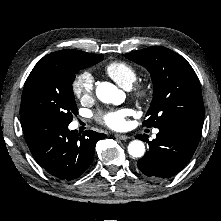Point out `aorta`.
I'll use <instances>...</instances> for the list:
<instances>
[{"mask_svg": "<svg viewBox=\"0 0 221 221\" xmlns=\"http://www.w3.org/2000/svg\"><path fill=\"white\" fill-rule=\"evenodd\" d=\"M96 95L103 103H120L121 91L112 83L101 82L96 88ZM128 153L135 158L142 157L145 154V145L140 140H133L128 145Z\"/></svg>", "mask_w": 221, "mask_h": 221, "instance_id": "obj_1", "label": "aorta"}]
</instances>
